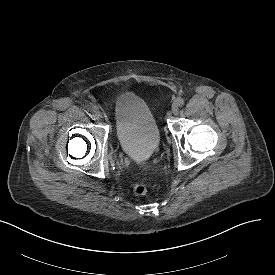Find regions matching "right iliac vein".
I'll use <instances>...</instances> for the list:
<instances>
[{
  "instance_id": "63e3f726",
  "label": "right iliac vein",
  "mask_w": 275,
  "mask_h": 275,
  "mask_svg": "<svg viewBox=\"0 0 275 275\" xmlns=\"http://www.w3.org/2000/svg\"><path fill=\"white\" fill-rule=\"evenodd\" d=\"M93 114L96 118H99L100 117V111L97 107L94 106V109H93Z\"/></svg>"
}]
</instances>
